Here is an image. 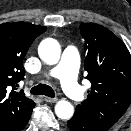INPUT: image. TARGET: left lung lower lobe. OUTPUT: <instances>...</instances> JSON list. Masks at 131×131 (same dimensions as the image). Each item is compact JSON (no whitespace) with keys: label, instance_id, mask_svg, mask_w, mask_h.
I'll return each instance as SVG.
<instances>
[{"label":"left lung lower lobe","instance_id":"left-lung-lower-lobe-1","mask_svg":"<svg viewBox=\"0 0 131 131\" xmlns=\"http://www.w3.org/2000/svg\"><path fill=\"white\" fill-rule=\"evenodd\" d=\"M67 124L71 131H104L98 128L90 118L77 112H75Z\"/></svg>","mask_w":131,"mask_h":131}]
</instances>
